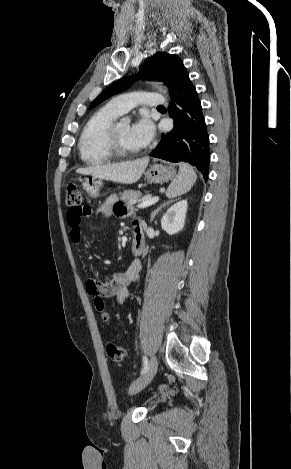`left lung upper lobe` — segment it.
Segmentation results:
<instances>
[{"mask_svg":"<svg viewBox=\"0 0 291 469\" xmlns=\"http://www.w3.org/2000/svg\"><path fill=\"white\" fill-rule=\"evenodd\" d=\"M187 72L182 60L166 52H158L149 58L141 67V75L148 80L164 82L169 87L171 93L177 85L180 77ZM134 78H124L108 86L90 105L94 107L106 100L110 96L123 91L130 86Z\"/></svg>","mask_w":291,"mask_h":469,"instance_id":"left-lung-upper-lobe-1","label":"left lung upper lobe"}]
</instances>
